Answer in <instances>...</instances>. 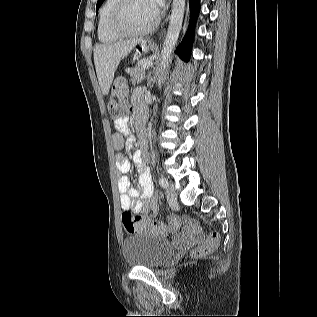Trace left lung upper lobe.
<instances>
[{
	"label": "left lung upper lobe",
	"instance_id": "left-lung-upper-lobe-1",
	"mask_svg": "<svg viewBox=\"0 0 317 317\" xmlns=\"http://www.w3.org/2000/svg\"><path fill=\"white\" fill-rule=\"evenodd\" d=\"M104 2V0H98L97 1V5H96V8L100 7V5Z\"/></svg>",
	"mask_w": 317,
	"mask_h": 317
}]
</instances>
